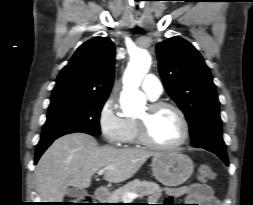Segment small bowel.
Wrapping results in <instances>:
<instances>
[{
    "mask_svg": "<svg viewBox=\"0 0 253 205\" xmlns=\"http://www.w3.org/2000/svg\"><path fill=\"white\" fill-rule=\"evenodd\" d=\"M166 193L168 195V203H170L174 197L186 196L189 202L196 203L191 205H219L217 199L213 195L211 187L205 184H191L177 189H168Z\"/></svg>",
    "mask_w": 253,
    "mask_h": 205,
    "instance_id": "c3829d8e",
    "label": "small bowel"
}]
</instances>
